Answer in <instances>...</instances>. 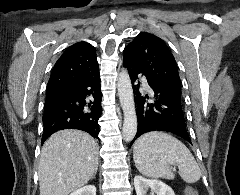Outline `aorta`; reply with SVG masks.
I'll list each match as a JSON object with an SVG mask.
<instances>
[{"label":"aorta","mask_w":240,"mask_h":195,"mask_svg":"<svg viewBox=\"0 0 240 195\" xmlns=\"http://www.w3.org/2000/svg\"><path fill=\"white\" fill-rule=\"evenodd\" d=\"M118 96L124 113L122 135L124 141H131L137 131V115L131 80L125 68L118 76Z\"/></svg>","instance_id":"aorta-1"}]
</instances>
